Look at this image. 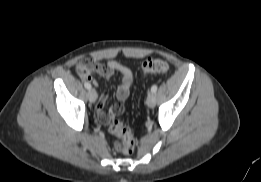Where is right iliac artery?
Listing matches in <instances>:
<instances>
[{
	"instance_id": "right-iliac-artery-1",
	"label": "right iliac artery",
	"mask_w": 261,
	"mask_h": 182,
	"mask_svg": "<svg viewBox=\"0 0 261 182\" xmlns=\"http://www.w3.org/2000/svg\"><path fill=\"white\" fill-rule=\"evenodd\" d=\"M84 86H85L86 89H91V84L88 83V82H85Z\"/></svg>"
}]
</instances>
